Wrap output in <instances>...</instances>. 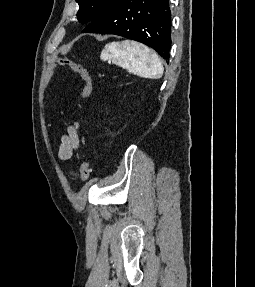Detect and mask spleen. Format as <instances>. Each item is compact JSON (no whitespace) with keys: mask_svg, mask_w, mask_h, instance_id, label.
Returning a JSON list of instances; mask_svg holds the SVG:
<instances>
[{"mask_svg":"<svg viewBox=\"0 0 255 287\" xmlns=\"http://www.w3.org/2000/svg\"><path fill=\"white\" fill-rule=\"evenodd\" d=\"M101 60L107 62L111 60L113 64L118 66H129L131 72L138 74L141 78H152L158 80L163 76L164 68L156 54L150 48L137 44V42H112L106 44L101 52Z\"/></svg>","mask_w":255,"mask_h":287,"instance_id":"obj_1","label":"spleen"}]
</instances>
